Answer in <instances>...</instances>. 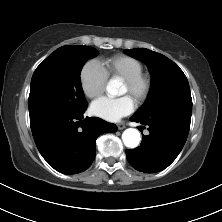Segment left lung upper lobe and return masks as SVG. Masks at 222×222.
Wrapping results in <instances>:
<instances>
[{
    "label": "left lung upper lobe",
    "instance_id": "left-lung-upper-lobe-1",
    "mask_svg": "<svg viewBox=\"0 0 222 222\" xmlns=\"http://www.w3.org/2000/svg\"><path fill=\"white\" fill-rule=\"evenodd\" d=\"M125 52L146 63L152 76L148 98L136 114L145 115L161 109L177 108L191 115L192 99L188 80L178 65L166 56L146 48Z\"/></svg>",
    "mask_w": 222,
    "mask_h": 222
}]
</instances>
